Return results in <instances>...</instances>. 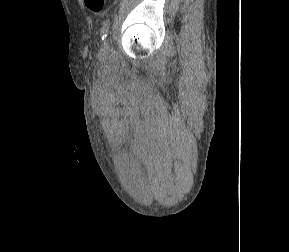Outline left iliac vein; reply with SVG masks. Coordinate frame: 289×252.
<instances>
[{"label": "left iliac vein", "mask_w": 289, "mask_h": 252, "mask_svg": "<svg viewBox=\"0 0 289 252\" xmlns=\"http://www.w3.org/2000/svg\"><path fill=\"white\" fill-rule=\"evenodd\" d=\"M107 46H108V41H104L103 44H102V47H101V50H106L107 49Z\"/></svg>", "instance_id": "left-iliac-vein-1"}]
</instances>
